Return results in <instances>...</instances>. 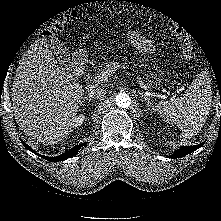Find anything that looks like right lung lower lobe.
Returning <instances> with one entry per match:
<instances>
[{"instance_id":"obj_1","label":"right lung lower lobe","mask_w":221,"mask_h":221,"mask_svg":"<svg viewBox=\"0 0 221 221\" xmlns=\"http://www.w3.org/2000/svg\"><path fill=\"white\" fill-rule=\"evenodd\" d=\"M22 144L24 145V147L28 150H30L31 152L39 155L38 153H36L30 146H28L25 142H23L21 140ZM84 145H86V143H83V144H80V145H77L75 147H73L72 149H70L69 151L59 155V156H56V157H48V156H42L45 160H48V161H51V162H59V161H62V160H65V159H68L74 155H76L78 153V150L83 147ZM41 156V155H40Z\"/></svg>"}]
</instances>
